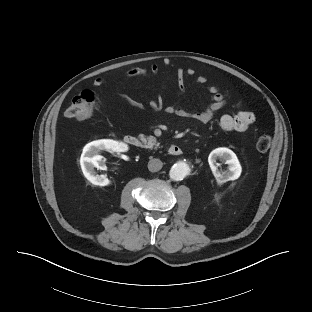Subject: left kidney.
<instances>
[{"label":"left kidney","mask_w":312,"mask_h":312,"mask_svg":"<svg viewBox=\"0 0 312 312\" xmlns=\"http://www.w3.org/2000/svg\"><path fill=\"white\" fill-rule=\"evenodd\" d=\"M220 159L221 161L228 164V171H219L216 166V160ZM208 162L210 168L217 179V181L225 183L230 180L238 179L242 172L241 164L236 156V154L225 147H220L214 149L208 157Z\"/></svg>","instance_id":"1"}]
</instances>
